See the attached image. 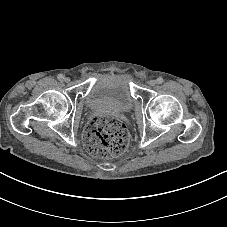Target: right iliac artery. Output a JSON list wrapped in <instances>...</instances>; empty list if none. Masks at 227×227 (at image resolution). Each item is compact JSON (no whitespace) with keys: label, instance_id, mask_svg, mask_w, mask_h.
I'll return each mask as SVG.
<instances>
[{"label":"right iliac artery","instance_id":"obj_1","mask_svg":"<svg viewBox=\"0 0 227 227\" xmlns=\"http://www.w3.org/2000/svg\"><path fill=\"white\" fill-rule=\"evenodd\" d=\"M57 78H58V80H63L64 79V75L63 74H58V76H57Z\"/></svg>","mask_w":227,"mask_h":227}]
</instances>
